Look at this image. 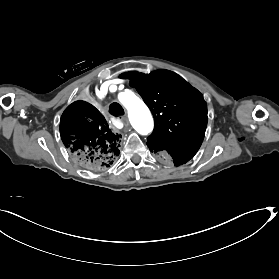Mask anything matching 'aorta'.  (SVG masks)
Masks as SVG:
<instances>
[{
	"label": "aorta",
	"instance_id": "aorta-1",
	"mask_svg": "<svg viewBox=\"0 0 279 279\" xmlns=\"http://www.w3.org/2000/svg\"><path fill=\"white\" fill-rule=\"evenodd\" d=\"M119 101L128 110V117L133 128L141 135L152 132L153 118L146 104L131 91L118 95Z\"/></svg>",
	"mask_w": 279,
	"mask_h": 279
}]
</instances>
